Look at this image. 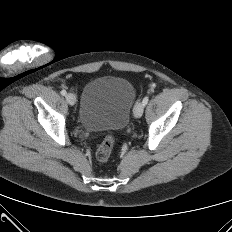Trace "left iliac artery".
Wrapping results in <instances>:
<instances>
[{
  "label": "left iliac artery",
  "instance_id": "44dca946",
  "mask_svg": "<svg viewBox=\"0 0 232 232\" xmlns=\"http://www.w3.org/2000/svg\"><path fill=\"white\" fill-rule=\"evenodd\" d=\"M148 101H149V97H147V96L144 97V99L142 101L143 105L145 106L148 103Z\"/></svg>",
  "mask_w": 232,
  "mask_h": 232
}]
</instances>
